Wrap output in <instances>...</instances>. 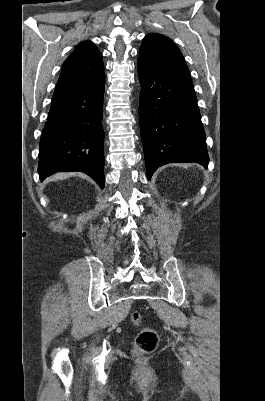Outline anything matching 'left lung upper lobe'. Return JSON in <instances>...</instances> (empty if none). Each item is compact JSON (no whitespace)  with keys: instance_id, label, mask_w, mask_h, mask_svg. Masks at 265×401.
<instances>
[{"instance_id":"5c2ea615","label":"left lung upper lobe","mask_w":265,"mask_h":401,"mask_svg":"<svg viewBox=\"0 0 265 401\" xmlns=\"http://www.w3.org/2000/svg\"><path fill=\"white\" fill-rule=\"evenodd\" d=\"M138 62L163 73L190 76L182 53L172 40L162 34L146 35L139 51Z\"/></svg>"}]
</instances>
